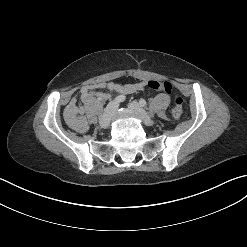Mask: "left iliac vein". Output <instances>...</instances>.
<instances>
[{"label":"left iliac vein","instance_id":"obj_1","mask_svg":"<svg viewBox=\"0 0 247 247\" xmlns=\"http://www.w3.org/2000/svg\"><path fill=\"white\" fill-rule=\"evenodd\" d=\"M129 108L137 113L139 119L147 126H153L155 124L154 120H152L146 111L141 107V105L137 101H132L129 103Z\"/></svg>","mask_w":247,"mask_h":247}]
</instances>
